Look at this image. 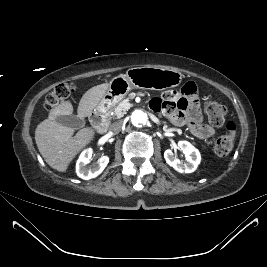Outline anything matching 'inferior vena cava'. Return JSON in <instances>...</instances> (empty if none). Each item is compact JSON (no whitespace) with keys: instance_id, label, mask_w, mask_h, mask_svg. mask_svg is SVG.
I'll list each match as a JSON object with an SVG mask.
<instances>
[{"instance_id":"obj_1","label":"inferior vena cava","mask_w":267,"mask_h":267,"mask_svg":"<svg viewBox=\"0 0 267 267\" xmlns=\"http://www.w3.org/2000/svg\"><path fill=\"white\" fill-rule=\"evenodd\" d=\"M122 125H123V122L120 120V121H116L114 123L111 124V126L109 127V130L115 134L119 133L122 129Z\"/></svg>"}]
</instances>
